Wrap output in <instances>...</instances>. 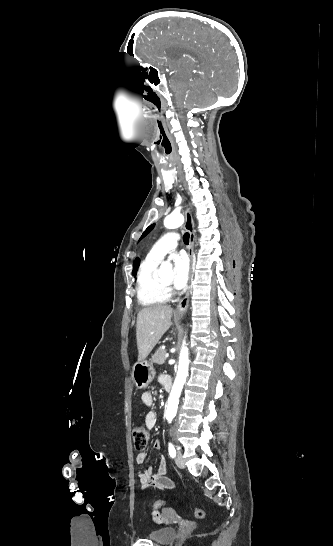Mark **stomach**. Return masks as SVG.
<instances>
[{"label":"stomach","instance_id":"1","mask_svg":"<svg viewBox=\"0 0 333 546\" xmlns=\"http://www.w3.org/2000/svg\"><path fill=\"white\" fill-rule=\"evenodd\" d=\"M155 377L153 364L146 360H138L132 367V380L139 388H146Z\"/></svg>","mask_w":333,"mask_h":546}]
</instances>
